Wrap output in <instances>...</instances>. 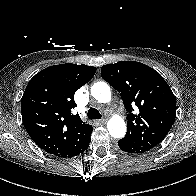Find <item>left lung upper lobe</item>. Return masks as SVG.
<instances>
[{"mask_svg": "<svg viewBox=\"0 0 196 196\" xmlns=\"http://www.w3.org/2000/svg\"><path fill=\"white\" fill-rule=\"evenodd\" d=\"M102 78L119 91L129 112L125 139L153 148L161 143L176 116V99L164 78L153 68L136 61H120L101 67ZM132 105L139 109L131 113Z\"/></svg>", "mask_w": 196, "mask_h": 196, "instance_id": "obj_1", "label": "left lung upper lobe"}]
</instances>
